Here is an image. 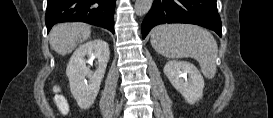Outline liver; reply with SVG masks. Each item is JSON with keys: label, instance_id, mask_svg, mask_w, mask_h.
<instances>
[{"label": "liver", "instance_id": "1", "mask_svg": "<svg viewBox=\"0 0 273 118\" xmlns=\"http://www.w3.org/2000/svg\"><path fill=\"white\" fill-rule=\"evenodd\" d=\"M91 34V27L83 23H62L50 31V46L60 55L71 53Z\"/></svg>", "mask_w": 273, "mask_h": 118}]
</instances>
